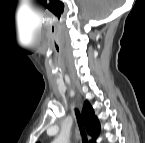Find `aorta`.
<instances>
[{
    "mask_svg": "<svg viewBox=\"0 0 145 143\" xmlns=\"http://www.w3.org/2000/svg\"><path fill=\"white\" fill-rule=\"evenodd\" d=\"M68 140V136L66 134H60L55 140L54 143H66Z\"/></svg>",
    "mask_w": 145,
    "mask_h": 143,
    "instance_id": "aorta-1",
    "label": "aorta"
}]
</instances>
